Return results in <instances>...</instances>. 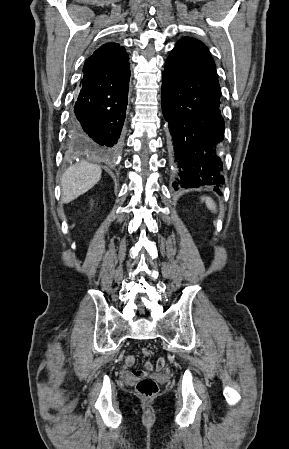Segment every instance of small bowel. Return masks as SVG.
<instances>
[{"label":"small bowel","instance_id":"c3829d8e","mask_svg":"<svg viewBox=\"0 0 289 449\" xmlns=\"http://www.w3.org/2000/svg\"><path fill=\"white\" fill-rule=\"evenodd\" d=\"M165 362H166L165 357H163V356L158 357V359H157V364H156L157 369H158V370H162V369L164 368V366H165ZM125 364H126L127 367H130V368L133 367V366L135 365V358H134V356H133V355H127V356L125 357ZM146 367H147L148 369H151V368H152V364H151V363H147V364H146ZM139 372L146 373V372L140 371V370H133V371H132V375H133L134 377H138V373H139Z\"/></svg>","mask_w":289,"mask_h":449}]
</instances>
